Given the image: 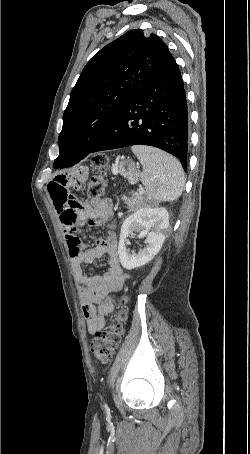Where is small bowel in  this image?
I'll return each instance as SVG.
<instances>
[{"mask_svg":"<svg viewBox=\"0 0 250 454\" xmlns=\"http://www.w3.org/2000/svg\"><path fill=\"white\" fill-rule=\"evenodd\" d=\"M84 177L58 176L48 184L53 205L59 215L68 244L69 255L75 280L80 285L83 315L90 332L104 328L106 316L113 311L107 297L121 290L128 278L123 270L118 250V241L113 231L105 239L99 240L94 248H85L78 235V228L87 220L93 226L109 224L112 219V202L100 199L91 203L77 199L72 190L81 189ZM106 255L108 269L103 276H88L82 269L83 264H91Z\"/></svg>","mask_w":250,"mask_h":454,"instance_id":"c3829d8e","label":"small bowel"}]
</instances>
